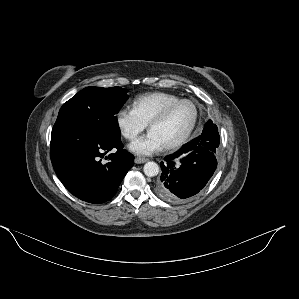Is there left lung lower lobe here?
I'll return each instance as SVG.
<instances>
[{"label":"left lung lower lobe","mask_w":299,"mask_h":299,"mask_svg":"<svg viewBox=\"0 0 299 299\" xmlns=\"http://www.w3.org/2000/svg\"><path fill=\"white\" fill-rule=\"evenodd\" d=\"M214 146L203 133L161 162L157 194L171 202L183 201L200 192L217 167Z\"/></svg>","instance_id":"0a47b994"}]
</instances>
